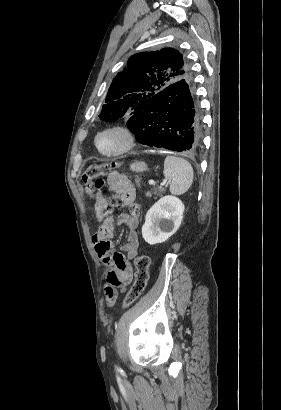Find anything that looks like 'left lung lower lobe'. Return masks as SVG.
Masks as SVG:
<instances>
[{
  "label": "left lung lower lobe",
  "instance_id": "0a47b994",
  "mask_svg": "<svg viewBox=\"0 0 281 410\" xmlns=\"http://www.w3.org/2000/svg\"><path fill=\"white\" fill-rule=\"evenodd\" d=\"M127 126L136 140L150 147L196 151L202 142V121L191 79L177 81L155 94Z\"/></svg>",
  "mask_w": 281,
  "mask_h": 410
}]
</instances>
